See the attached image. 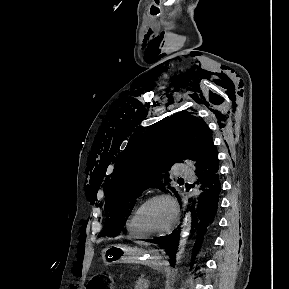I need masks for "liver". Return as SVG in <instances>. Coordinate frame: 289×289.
<instances>
[{
  "label": "liver",
  "instance_id": "6515ba94",
  "mask_svg": "<svg viewBox=\"0 0 289 289\" xmlns=\"http://www.w3.org/2000/svg\"><path fill=\"white\" fill-rule=\"evenodd\" d=\"M139 244H144L143 242H138Z\"/></svg>",
  "mask_w": 289,
  "mask_h": 289
}]
</instances>
